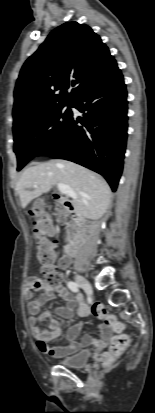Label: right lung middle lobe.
I'll list each match as a JSON object with an SVG mask.
<instances>
[{
  "instance_id": "right-lung-middle-lobe-1",
  "label": "right lung middle lobe",
  "mask_w": 155,
  "mask_h": 413,
  "mask_svg": "<svg viewBox=\"0 0 155 413\" xmlns=\"http://www.w3.org/2000/svg\"><path fill=\"white\" fill-rule=\"evenodd\" d=\"M65 106L67 104L59 105L13 126L18 171L31 159L40 156L64 130L72 116V105L67 110H64Z\"/></svg>"
}]
</instances>
